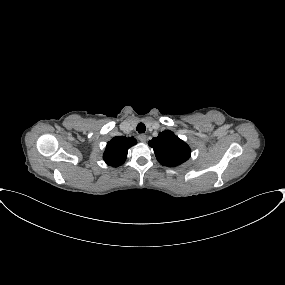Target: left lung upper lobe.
<instances>
[{"mask_svg": "<svg viewBox=\"0 0 285 285\" xmlns=\"http://www.w3.org/2000/svg\"><path fill=\"white\" fill-rule=\"evenodd\" d=\"M148 144L154 149L159 163L164 166L175 167L190 158L189 146L170 130L159 133Z\"/></svg>", "mask_w": 285, "mask_h": 285, "instance_id": "obj_1", "label": "left lung upper lobe"}]
</instances>
